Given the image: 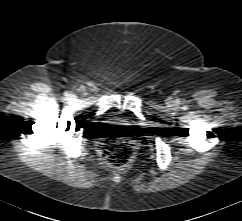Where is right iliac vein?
Returning <instances> with one entry per match:
<instances>
[{
  "instance_id": "63e3f726",
  "label": "right iliac vein",
  "mask_w": 242,
  "mask_h": 221,
  "mask_svg": "<svg viewBox=\"0 0 242 221\" xmlns=\"http://www.w3.org/2000/svg\"><path fill=\"white\" fill-rule=\"evenodd\" d=\"M69 97H70V99H71V100H74V99H75V97H74V96H69Z\"/></svg>"
}]
</instances>
